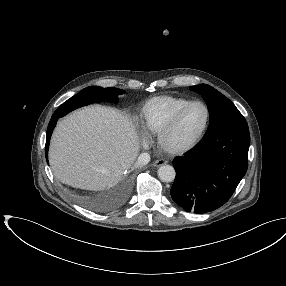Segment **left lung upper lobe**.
Segmentation results:
<instances>
[{
  "mask_svg": "<svg viewBox=\"0 0 286 286\" xmlns=\"http://www.w3.org/2000/svg\"><path fill=\"white\" fill-rule=\"evenodd\" d=\"M190 90L199 93L208 105L210 122L206 134L224 128H248L245 118L236 106L215 88L199 84L191 86Z\"/></svg>",
  "mask_w": 286,
  "mask_h": 286,
  "instance_id": "5c2ea615",
  "label": "left lung upper lobe"
}]
</instances>
